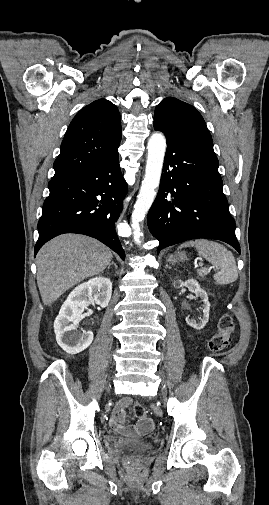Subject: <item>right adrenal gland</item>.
I'll return each instance as SVG.
<instances>
[{
  "label": "right adrenal gland",
  "instance_id": "obj_1",
  "mask_svg": "<svg viewBox=\"0 0 269 505\" xmlns=\"http://www.w3.org/2000/svg\"><path fill=\"white\" fill-rule=\"evenodd\" d=\"M111 265H114L115 269L117 270V265L113 261L108 265V269L110 268Z\"/></svg>",
  "mask_w": 269,
  "mask_h": 505
}]
</instances>
